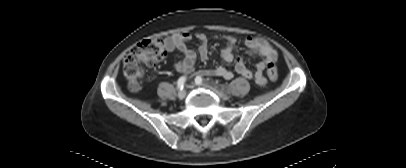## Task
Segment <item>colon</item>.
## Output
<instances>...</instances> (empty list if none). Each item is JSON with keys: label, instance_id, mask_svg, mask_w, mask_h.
<instances>
[{"label": "colon", "instance_id": "colon-1", "mask_svg": "<svg viewBox=\"0 0 406 168\" xmlns=\"http://www.w3.org/2000/svg\"><path fill=\"white\" fill-rule=\"evenodd\" d=\"M165 55V44L161 37H150L134 46L123 59V74L129 89H139L144 66H157ZM267 74L271 81L278 79V72L274 63L267 64Z\"/></svg>", "mask_w": 406, "mask_h": 168}]
</instances>
